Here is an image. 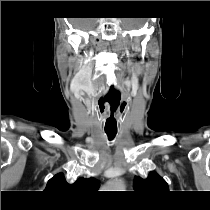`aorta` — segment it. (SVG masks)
Instances as JSON below:
<instances>
[{"instance_id":"aorta-1","label":"aorta","mask_w":210,"mask_h":210,"mask_svg":"<svg viewBox=\"0 0 210 210\" xmlns=\"http://www.w3.org/2000/svg\"><path fill=\"white\" fill-rule=\"evenodd\" d=\"M109 189H123V184L120 180H114L110 184L107 185Z\"/></svg>"}]
</instances>
